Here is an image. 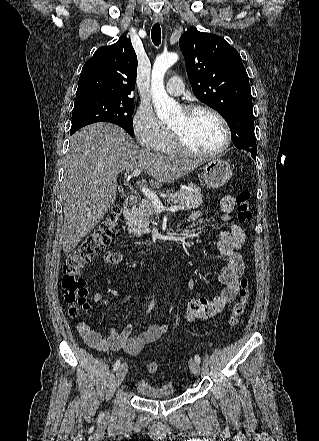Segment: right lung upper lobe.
Here are the masks:
<instances>
[{
    "label": "right lung upper lobe",
    "instance_id": "1",
    "mask_svg": "<svg viewBox=\"0 0 319 441\" xmlns=\"http://www.w3.org/2000/svg\"><path fill=\"white\" fill-rule=\"evenodd\" d=\"M137 56L129 38L122 36L111 46L96 50L82 68L76 99L125 98L133 92Z\"/></svg>",
    "mask_w": 319,
    "mask_h": 441
}]
</instances>
